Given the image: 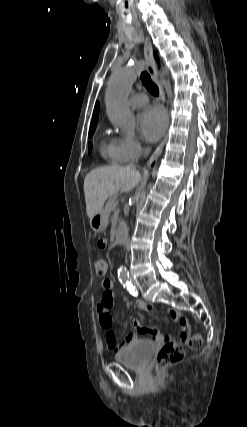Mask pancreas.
<instances>
[{"label":"pancreas","mask_w":247,"mask_h":427,"mask_svg":"<svg viewBox=\"0 0 247 427\" xmlns=\"http://www.w3.org/2000/svg\"><path fill=\"white\" fill-rule=\"evenodd\" d=\"M116 204H117V202H116V198L115 197L109 198V200L107 201V203L105 205V208L103 210L104 213L105 214H110L114 210Z\"/></svg>","instance_id":"pancreas-1"}]
</instances>
